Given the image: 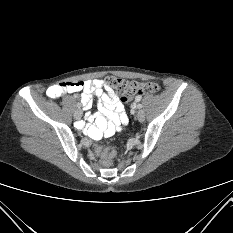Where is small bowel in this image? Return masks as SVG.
I'll use <instances>...</instances> for the list:
<instances>
[{"mask_svg":"<svg viewBox=\"0 0 233 233\" xmlns=\"http://www.w3.org/2000/svg\"><path fill=\"white\" fill-rule=\"evenodd\" d=\"M80 91L81 103L85 110L92 107L93 95L98 98V113H88L86 116L87 120L94 121V124L87 126L81 123L78 126L91 138L98 140L103 136L110 137L127 124L128 116L123 101L118 94L105 87L101 79L56 83L47 89L46 95L51 99H57L66 93Z\"/></svg>","mask_w":233,"mask_h":233,"instance_id":"c3829d8e","label":"small bowel"}]
</instances>
